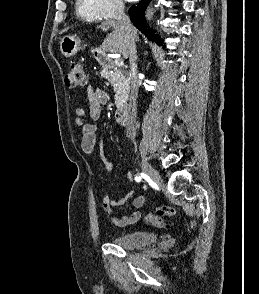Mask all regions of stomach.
Here are the masks:
<instances>
[{
	"label": "stomach",
	"mask_w": 259,
	"mask_h": 294,
	"mask_svg": "<svg viewBox=\"0 0 259 294\" xmlns=\"http://www.w3.org/2000/svg\"><path fill=\"white\" fill-rule=\"evenodd\" d=\"M82 49V40L79 36L67 35L60 42V51L65 57H72Z\"/></svg>",
	"instance_id": "1"
}]
</instances>
